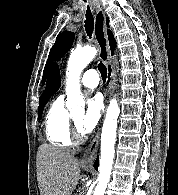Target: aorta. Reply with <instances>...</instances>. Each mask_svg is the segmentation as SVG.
<instances>
[{
    "label": "aorta",
    "instance_id": "aorta-1",
    "mask_svg": "<svg viewBox=\"0 0 178 195\" xmlns=\"http://www.w3.org/2000/svg\"><path fill=\"white\" fill-rule=\"evenodd\" d=\"M96 53L95 47L86 46L72 52L69 57L66 71V107L70 112H73L77 107L84 106V99L80 90V75L83 69L96 56ZM119 113L118 101L116 98H113L109 102L102 128L98 184L93 195H104L110 180Z\"/></svg>",
    "mask_w": 178,
    "mask_h": 195
}]
</instances>
